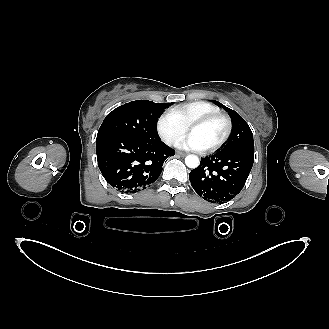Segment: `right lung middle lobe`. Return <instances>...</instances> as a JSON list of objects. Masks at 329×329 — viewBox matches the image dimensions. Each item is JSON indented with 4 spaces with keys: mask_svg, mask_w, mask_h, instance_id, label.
Returning a JSON list of instances; mask_svg holds the SVG:
<instances>
[{
    "mask_svg": "<svg viewBox=\"0 0 329 329\" xmlns=\"http://www.w3.org/2000/svg\"><path fill=\"white\" fill-rule=\"evenodd\" d=\"M172 104L154 103L148 100L126 103L106 116L97 135L113 133L160 140L157 133V120L160 114Z\"/></svg>",
    "mask_w": 329,
    "mask_h": 329,
    "instance_id": "obj_1",
    "label": "right lung middle lobe"
}]
</instances>
